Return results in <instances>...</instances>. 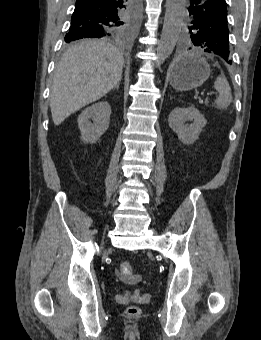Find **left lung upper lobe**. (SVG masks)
Instances as JSON below:
<instances>
[{"mask_svg": "<svg viewBox=\"0 0 261 340\" xmlns=\"http://www.w3.org/2000/svg\"><path fill=\"white\" fill-rule=\"evenodd\" d=\"M229 29L227 17L208 16L194 18L184 34V47L191 49L199 46L227 60L230 57Z\"/></svg>", "mask_w": 261, "mask_h": 340, "instance_id": "1", "label": "left lung upper lobe"}]
</instances>
